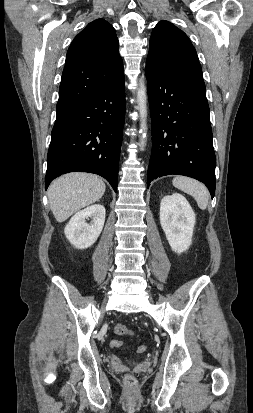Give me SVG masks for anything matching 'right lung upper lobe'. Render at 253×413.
<instances>
[{
    "mask_svg": "<svg viewBox=\"0 0 253 413\" xmlns=\"http://www.w3.org/2000/svg\"><path fill=\"white\" fill-rule=\"evenodd\" d=\"M114 28L104 19L89 23L72 41L59 87L57 109L85 99L123 72Z\"/></svg>",
    "mask_w": 253,
    "mask_h": 413,
    "instance_id": "obj_1",
    "label": "right lung upper lobe"
}]
</instances>
